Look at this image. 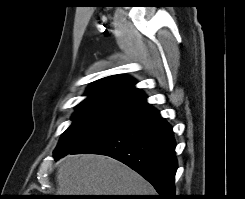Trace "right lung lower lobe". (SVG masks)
Instances as JSON below:
<instances>
[{
	"label": "right lung lower lobe",
	"mask_w": 245,
	"mask_h": 199,
	"mask_svg": "<svg viewBox=\"0 0 245 199\" xmlns=\"http://www.w3.org/2000/svg\"><path fill=\"white\" fill-rule=\"evenodd\" d=\"M175 146L172 127L151 107L126 117L71 154L90 153L115 158L149 181L159 194L157 199H176Z\"/></svg>",
	"instance_id": "right-lung-lower-lobe-1"
}]
</instances>
